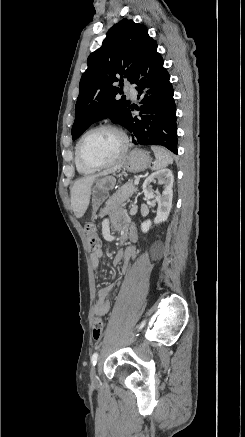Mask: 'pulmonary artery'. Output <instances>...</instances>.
<instances>
[{
	"label": "pulmonary artery",
	"mask_w": 245,
	"mask_h": 437,
	"mask_svg": "<svg viewBox=\"0 0 245 437\" xmlns=\"http://www.w3.org/2000/svg\"><path fill=\"white\" fill-rule=\"evenodd\" d=\"M124 90L132 97H135V90L131 85H125Z\"/></svg>",
	"instance_id": "1"
}]
</instances>
